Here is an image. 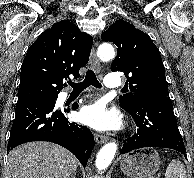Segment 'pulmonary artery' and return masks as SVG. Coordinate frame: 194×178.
I'll list each match as a JSON object with an SVG mask.
<instances>
[{
  "label": "pulmonary artery",
  "instance_id": "e3ab8cb5",
  "mask_svg": "<svg viewBox=\"0 0 194 178\" xmlns=\"http://www.w3.org/2000/svg\"><path fill=\"white\" fill-rule=\"evenodd\" d=\"M104 84L107 88L115 89L122 85V80L117 74H108L104 78Z\"/></svg>",
  "mask_w": 194,
  "mask_h": 178
}]
</instances>
